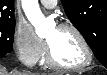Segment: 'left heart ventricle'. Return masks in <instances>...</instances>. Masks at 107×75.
I'll list each match as a JSON object with an SVG mask.
<instances>
[{
  "label": "left heart ventricle",
  "instance_id": "1",
  "mask_svg": "<svg viewBox=\"0 0 107 75\" xmlns=\"http://www.w3.org/2000/svg\"><path fill=\"white\" fill-rule=\"evenodd\" d=\"M46 40L60 64L78 65L85 60V51L72 31L54 28L49 32Z\"/></svg>",
  "mask_w": 107,
  "mask_h": 75
}]
</instances>
